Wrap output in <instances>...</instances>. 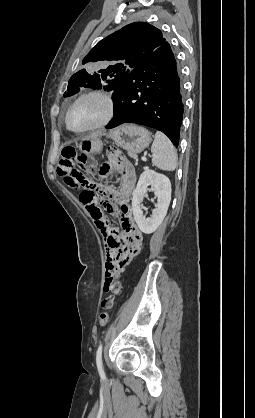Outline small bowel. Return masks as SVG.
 <instances>
[{
    "label": "small bowel",
    "mask_w": 255,
    "mask_h": 418,
    "mask_svg": "<svg viewBox=\"0 0 255 418\" xmlns=\"http://www.w3.org/2000/svg\"><path fill=\"white\" fill-rule=\"evenodd\" d=\"M107 161L109 164L103 167V172L114 169L120 174V188L106 190L108 196L119 204V215L122 226L133 222L132 211L129 205L130 197L136 184V175L131 165L125 160L122 147H107ZM114 212L115 208L113 207ZM105 228L96 225L105 237L103 247L106 254V270L104 291L102 292L101 307L104 311H110L114 307L115 300L120 298L121 282L125 277V270L131 261L141 253L142 239L141 228L111 227L102 218Z\"/></svg>",
    "instance_id": "small-bowel-1"
}]
</instances>
